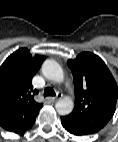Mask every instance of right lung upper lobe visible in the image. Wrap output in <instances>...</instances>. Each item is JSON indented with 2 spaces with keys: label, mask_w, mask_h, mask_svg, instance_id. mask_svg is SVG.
<instances>
[{
  "label": "right lung upper lobe",
  "mask_w": 118,
  "mask_h": 142,
  "mask_svg": "<svg viewBox=\"0 0 118 142\" xmlns=\"http://www.w3.org/2000/svg\"><path fill=\"white\" fill-rule=\"evenodd\" d=\"M45 59L31 56L26 48L11 54L0 67V126L10 132L22 133L31 128L42 103L34 100L32 78Z\"/></svg>",
  "instance_id": "cb5924a9"
}]
</instances>
